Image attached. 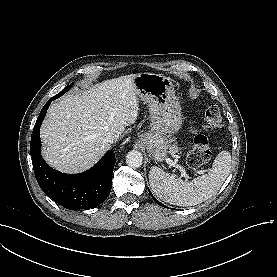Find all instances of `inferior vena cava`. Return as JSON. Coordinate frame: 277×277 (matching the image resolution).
<instances>
[{
	"label": "inferior vena cava",
	"instance_id": "inferior-vena-cava-1",
	"mask_svg": "<svg viewBox=\"0 0 277 277\" xmlns=\"http://www.w3.org/2000/svg\"><path fill=\"white\" fill-rule=\"evenodd\" d=\"M119 136L116 134H110L107 136V138L105 139V142L109 145L115 143L118 140Z\"/></svg>",
	"mask_w": 277,
	"mask_h": 277
}]
</instances>
